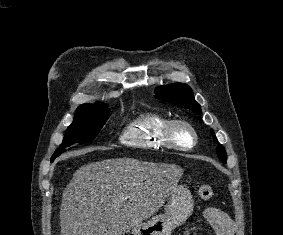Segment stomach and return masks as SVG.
Segmentation results:
<instances>
[{
    "instance_id": "0dacf381",
    "label": "stomach",
    "mask_w": 283,
    "mask_h": 235,
    "mask_svg": "<svg viewBox=\"0 0 283 235\" xmlns=\"http://www.w3.org/2000/svg\"><path fill=\"white\" fill-rule=\"evenodd\" d=\"M194 200L190 191L174 184L168 194V202L163 214L155 215L150 220L131 228V235H171L192 213Z\"/></svg>"
}]
</instances>
